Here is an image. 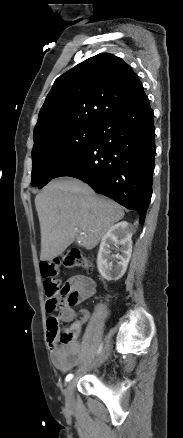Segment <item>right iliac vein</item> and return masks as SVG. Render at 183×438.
Listing matches in <instances>:
<instances>
[{"label": "right iliac vein", "mask_w": 183, "mask_h": 438, "mask_svg": "<svg viewBox=\"0 0 183 438\" xmlns=\"http://www.w3.org/2000/svg\"><path fill=\"white\" fill-rule=\"evenodd\" d=\"M108 350L109 349H107L104 355L99 359L95 367L100 366L106 360L108 356ZM74 385H75V381L74 380L70 381L64 391L65 402L68 408H72L74 406V398H73Z\"/></svg>", "instance_id": "1"}]
</instances>
